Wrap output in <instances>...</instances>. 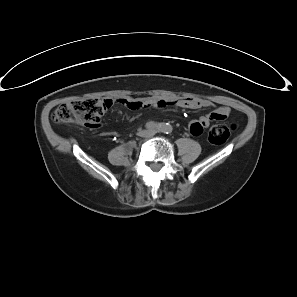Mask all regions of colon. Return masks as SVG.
<instances>
[{
	"label": "colon",
	"mask_w": 297,
	"mask_h": 297,
	"mask_svg": "<svg viewBox=\"0 0 297 297\" xmlns=\"http://www.w3.org/2000/svg\"><path fill=\"white\" fill-rule=\"evenodd\" d=\"M112 101L103 98H89L70 101L57 107L52 115L54 122L59 124L100 122ZM236 125H214L208 133V140L215 145L225 143Z\"/></svg>",
	"instance_id": "obj_1"
}]
</instances>
